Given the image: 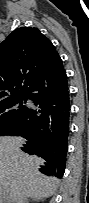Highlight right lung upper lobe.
I'll return each mask as SVG.
<instances>
[{"label": "right lung upper lobe", "instance_id": "right-lung-upper-lobe-1", "mask_svg": "<svg viewBox=\"0 0 89 203\" xmlns=\"http://www.w3.org/2000/svg\"><path fill=\"white\" fill-rule=\"evenodd\" d=\"M63 64L37 28L21 27L0 43V105L27 96L44 75Z\"/></svg>", "mask_w": 89, "mask_h": 203}]
</instances>
